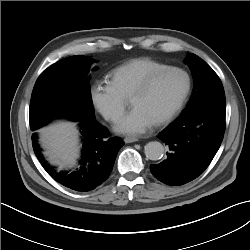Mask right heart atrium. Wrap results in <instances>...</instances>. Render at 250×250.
Instances as JSON below:
<instances>
[{
  "instance_id": "obj_1",
  "label": "right heart atrium",
  "mask_w": 250,
  "mask_h": 250,
  "mask_svg": "<svg viewBox=\"0 0 250 250\" xmlns=\"http://www.w3.org/2000/svg\"><path fill=\"white\" fill-rule=\"evenodd\" d=\"M90 101L105 120L117 122L127 105L124 97L110 80L101 79L95 81L89 89Z\"/></svg>"
}]
</instances>
